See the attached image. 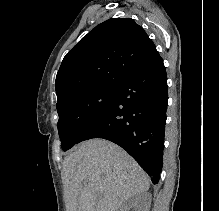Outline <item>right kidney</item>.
<instances>
[{
  "label": "right kidney",
  "instance_id": "1",
  "mask_svg": "<svg viewBox=\"0 0 219 211\" xmlns=\"http://www.w3.org/2000/svg\"><path fill=\"white\" fill-rule=\"evenodd\" d=\"M143 201L145 203V211H149L150 203H151L150 195H145ZM136 203H138V199H136V197H133V199H128L127 203L123 205L121 211H126V209H131V207H134Z\"/></svg>",
  "mask_w": 219,
  "mask_h": 211
}]
</instances>
